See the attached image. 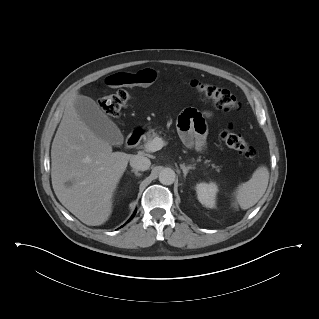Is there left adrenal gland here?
Here are the masks:
<instances>
[{
	"label": "left adrenal gland",
	"mask_w": 319,
	"mask_h": 319,
	"mask_svg": "<svg viewBox=\"0 0 319 319\" xmlns=\"http://www.w3.org/2000/svg\"><path fill=\"white\" fill-rule=\"evenodd\" d=\"M180 168H181L182 171H183V174H184L183 176H184V178H186V176H187L189 170H190V169H195V166H194V165L185 166V164H181V165H180Z\"/></svg>",
	"instance_id": "left-adrenal-gland-1"
}]
</instances>
